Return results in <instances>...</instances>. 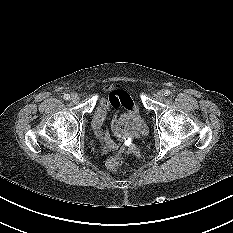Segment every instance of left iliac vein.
I'll list each match as a JSON object with an SVG mask.
<instances>
[{
  "label": "left iliac vein",
  "instance_id": "4c4485c4",
  "mask_svg": "<svg viewBox=\"0 0 233 233\" xmlns=\"http://www.w3.org/2000/svg\"><path fill=\"white\" fill-rule=\"evenodd\" d=\"M155 97L158 99V100H162L164 98V92L162 90L158 91L156 94H155Z\"/></svg>",
  "mask_w": 233,
  "mask_h": 233
}]
</instances>
